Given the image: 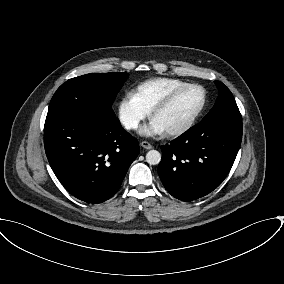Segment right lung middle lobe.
Masks as SVG:
<instances>
[{
    "label": "right lung middle lobe",
    "mask_w": 284,
    "mask_h": 284,
    "mask_svg": "<svg viewBox=\"0 0 284 284\" xmlns=\"http://www.w3.org/2000/svg\"><path fill=\"white\" fill-rule=\"evenodd\" d=\"M127 78V73H102L69 79L51 99L45 129L75 115L111 113L115 97Z\"/></svg>",
    "instance_id": "right-lung-middle-lobe-1"
}]
</instances>
